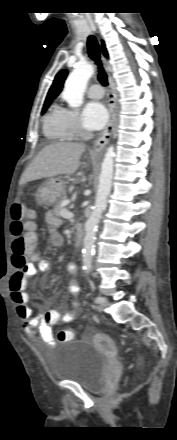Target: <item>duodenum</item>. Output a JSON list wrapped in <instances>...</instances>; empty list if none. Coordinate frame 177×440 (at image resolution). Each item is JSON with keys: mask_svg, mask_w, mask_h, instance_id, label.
<instances>
[{"mask_svg": "<svg viewBox=\"0 0 177 440\" xmlns=\"http://www.w3.org/2000/svg\"><path fill=\"white\" fill-rule=\"evenodd\" d=\"M84 238V231L81 226H77L74 230V244L76 247H80Z\"/></svg>", "mask_w": 177, "mask_h": 440, "instance_id": "410a0bca", "label": "duodenum"}]
</instances>
